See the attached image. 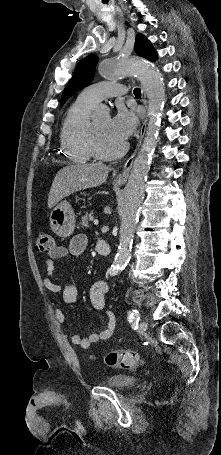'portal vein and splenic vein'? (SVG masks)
<instances>
[{"mask_svg":"<svg viewBox=\"0 0 221 455\" xmlns=\"http://www.w3.org/2000/svg\"><path fill=\"white\" fill-rule=\"evenodd\" d=\"M93 222H94V225H98V224H99V221H98V219H94V221H93Z\"/></svg>","mask_w":221,"mask_h":455,"instance_id":"1","label":"portal vein and splenic vein"}]
</instances>
